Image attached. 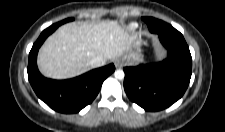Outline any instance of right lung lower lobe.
<instances>
[{
    "label": "right lung lower lobe",
    "mask_w": 225,
    "mask_h": 132,
    "mask_svg": "<svg viewBox=\"0 0 225 132\" xmlns=\"http://www.w3.org/2000/svg\"><path fill=\"white\" fill-rule=\"evenodd\" d=\"M57 23L45 29L29 53L28 79L37 94L50 108L61 113H76L90 104L100 91L102 82L114 72L113 64L94 69L68 80H52L38 71L37 53L45 39L58 28Z\"/></svg>",
    "instance_id": "obj_1"
}]
</instances>
